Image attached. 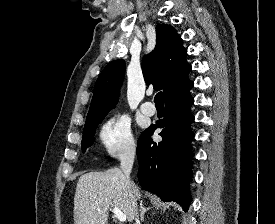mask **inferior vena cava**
Returning a JSON list of instances; mask_svg holds the SVG:
<instances>
[{"instance_id":"602c4592","label":"inferior vena cava","mask_w":275,"mask_h":224,"mask_svg":"<svg viewBox=\"0 0 275 224\" xmlns=\"http://www.w3.org/2000/svg\"><path fill=\"white\" fill-rule=\"evenodd\" d=\"M135 152H136L135 149L131 148L126 151H123L119 155L120 167H121V169L124 173V176L128 182L130 181V173H131L133 163H134ZM133 206L136 211V219L135 220H136V223L138 224L137 207H136L137 203L135 201H133Z\"/></svg>"}]
</instances>
